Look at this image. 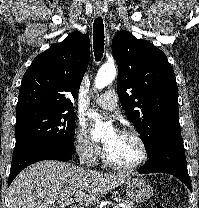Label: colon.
Masks as SVG:
<instances>
[{"label":"colon","instance_id":"1","mask_svg":"<svg viewBox=\"0 0 199 208\" xmlns=\"http://www.w3.org/2000/svg\"><path fill=\"white\" fill-rule=\"evenodd\" d=\"M153 208H168V207L162 202H155Z\"/></svg>","mask_w":199,"mask_h":208}]
</instances>
